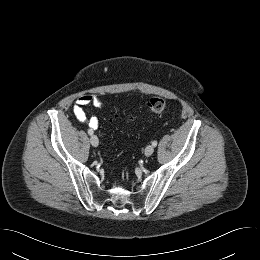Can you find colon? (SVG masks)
Instances as JSON below:
<instances>
[{"label":"colon","mask_w":260,"mask_h":260,"mask_svg":"<svg viewBox=\"0 0 260 260\" xmlns=\"http://www.w3.org/2000/svg\"><path fill=\"white\" fill-rule=\"evenodd\" d=\"M166 108V102L161 97H153L148 102V109L151 113L160 114Z\"/></svg>","instance_id":"1"}]
</instances>
